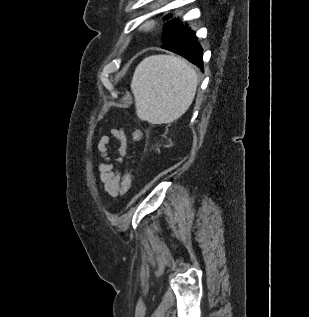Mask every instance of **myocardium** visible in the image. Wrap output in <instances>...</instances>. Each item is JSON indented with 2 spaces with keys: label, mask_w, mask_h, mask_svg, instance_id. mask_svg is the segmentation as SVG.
I'll use <instances>...</instances> for the list:
<instances>
[{
  "label": "myocardium",
  "mask_w": 309,
  "mask_h": 317,
  "mask_svg": "<svg viewBox=\"0 0 309 317\" xmlns=\"http://www.w3.org/2000/svg\"><path fill=\"white\" fill-rule=\"evenodd\" d=\"M152 28H153V23L152 22H148V23L143 25V29L145 31H150Z\"/></svg>",
  "instance_id": "myocardium-1"
}]
</instances>
